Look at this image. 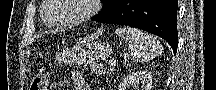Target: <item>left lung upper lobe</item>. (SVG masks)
Wrapping results in <instances>:
<instances>
[{"label":"left lung upper lobe","mask_w":216,"mask_h":90,"mask_svg":"<svg viewBox=\"0 0 216 90\" xmlns=\"http://www.w3.org/2000/svg\"><path fill=\"white\" fill-rule=\"evenodd\" d=\"M119 2H120V0H102V3L104 4V8L100 12L112 9Z\"/></svg>","instance_id":"1"}]
</instances>
